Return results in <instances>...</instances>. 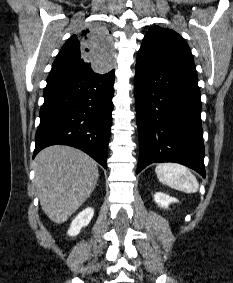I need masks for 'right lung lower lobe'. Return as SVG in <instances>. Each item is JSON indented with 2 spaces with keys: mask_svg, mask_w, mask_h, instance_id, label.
<instances>
[{
  "mask_svg": "<svg viewBox=\"0 0 233 283\" xmlns=\"http://www.w3.org/2000/svg\"><path fill=\"white\" fill-rule=\"evenodd\" d=\"M113 84L114 70L50 74L33 157L47 146L63 144L81 149L107 168Z\"/></svg>",
  "mask_w": 233,
  "mask_h": 283,
  "instance_id": "98d812e1",
  "label": "right lung lower lobe"
}]
</instances>
